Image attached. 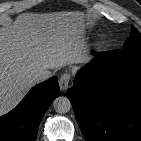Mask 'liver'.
Returning <instances> with one entry per match:
<instances>
[{
    "label": "liver",
    "instance_id": "6515ba94",
    "mask_svg": "<svg viewBox=\"0 0 141 141\" xmlns=\"http://www.w3.org/2000/svg\"><path fill=\"white\" fill-rule=\"evenodd\" d=\"M80 12L23 13L0 27V116L39 82V68L53 70L86 59Z\"/></svg>",
    "mask_w": 141,
    "mask_h": 141
}]
</instances>
